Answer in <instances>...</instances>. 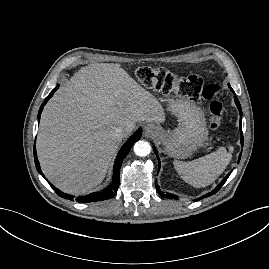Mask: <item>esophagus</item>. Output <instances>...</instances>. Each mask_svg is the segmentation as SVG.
Instances as JSON below:
<instances>
[{
	"mask_svg": "<svg viewBox=\"0 0 269 269\" xmlns=\"http://www.w3.org/2000/svg\"><path fill=\"white\" fill-rule=\"evenodd\" d=\"M144 130H145V133H146V134H150V133L153 132L152 128L149 127V126H145Z\"/></svg>",
	"mask_w": 269,
	"mask_h": 269,
	"instance_id": "esophagus-1",
	"label": "esophagus"
}]
</instances>
